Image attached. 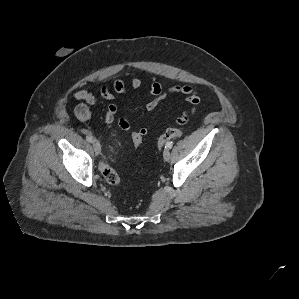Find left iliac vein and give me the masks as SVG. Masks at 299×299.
I'll list each match as a JSON object with an SVG mask.
<instances>
[{"instance_id": "1", "label": "left iliac vein", "mask_w": 299, "mask_h": 299, "mask_svg": "<svg viewBox=\"0 0 299 299\" xmlns=\"http://www.w3.org/2000/svg\"><path fill=\"white\" fill-rule=\"evenodd\" d=\"M163 157L166 161H169L170 157H171V154H170V151L168 148H166L163 152Z\"/></svg>"}]
</instances>
